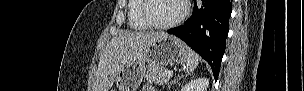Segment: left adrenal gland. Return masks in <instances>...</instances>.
Instances as JSON below:
<instances>
[{
	"label": "left adrenal gland",
	"instance_id": "a2214340",
	"mask_svg": "<svg viewBox=\"0 0 304 91\" xmlns=\"http://www.w3.org/2000/svg\"><path fill=\"white\" fill-rule=\"evenodd\" d=\"M183 77H184V75L178 76L176 79H174L173 81H171V82L168 84L167 91H169V90H170V87H171L173 84H176L178 81H180Z\"/></svg>",
	"mask_w": 304,
	"mask_h": 91
}]
</instances>
